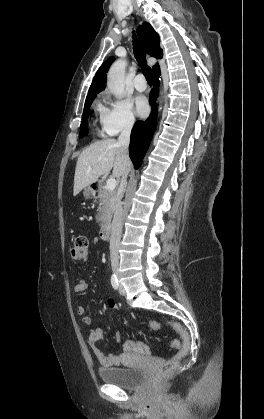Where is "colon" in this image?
Segmentation results:
<instances>
[{"instance_id": "obj_1", "label": "colon", "mask_w": 264, "mask_h": 419, "mask_svg": "<svg viewBox=\"0 0 264 419\" xmlns=\"http://www.w3.org/2000/svg\"><path fill=\"white\" fill-rule=\"evenodd\" d=\"M71 257L76 262H85L89 257V242L85 236H78L71 249ZM171 326L177 330L181 336V342L179 340H173L171 346L173 349L178 350V353L170 360L164 362L160 367L158 378H162L170 375L176 369L178 363L183 359L190 350V336L189 333L177 323H172ZM149 327L152 331H157L160 327L159 322L151 321ZM147 345L143 343L131 344L132 349H136L139 352L146 353L148 350Z\"/></svg>"}]
</instances>
